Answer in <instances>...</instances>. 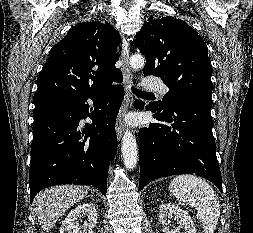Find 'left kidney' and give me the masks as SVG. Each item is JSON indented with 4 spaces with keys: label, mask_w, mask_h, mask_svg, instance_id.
I'll return each mask as SVG.
<instances>
[{
    "label": "left kidney",
    "mask_w": 253,
    "mask_h": 233,
    "mask_svg": "<svg viewBox=\"0 0 253 233\" xmlns=\"http://www.w3.org/2000/svg\"><path fill=\"white\" fill-rule=\"evenodd\" d=\"M173 216L177 219L179 226L172 233H181V228L184 229L183 233H196L194 222L187 211L174 204H162L159 211V222L162 225H167Z\"/></svg>",
    "instance_id": "5707ae66"
}]
</instances>
